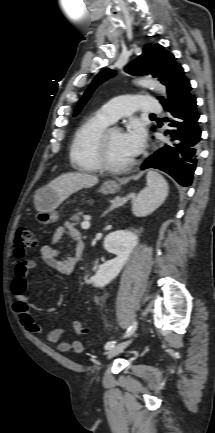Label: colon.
Masks as SVG:
<instances>
[{"instance_id": "1", "label": "colon", "mask_w": 215, "mask_h": 433, "mask_svg": "<svg viewBox=\"0 0 215 433\" xmlns=\"http://www.w3.org/2000/svg\"><path fill=\"white\" fill-rule=\"evenodd\" d=\"M37 245V238L32 229L26 226H20L15 235L16 256L19 259L25 257L26 251ZM73 329L79 335L88 332V324L85 321L74 320Z\"/></svg>"}]
</instances>
